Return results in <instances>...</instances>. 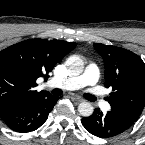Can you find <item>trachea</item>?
<instances>
[{
  "instance_id": "3493384b",
  "label": "trachea",
  "mask_w": 145,
  "mask_h": 145,
  "mask_svg": "<svg viewBox=\"0 0 145 145\" xmlns=\"http://www.w3.org/2000/svg\"><path fill=\"white\" fill-rule=\"evenodd\" d=\"M52 94L59 96L62 94V91L58 88H55L52 90ZM84 97L90 101H95V99H96L93 95H90V94H85Z\"/></svg>"
}]
</instances>
